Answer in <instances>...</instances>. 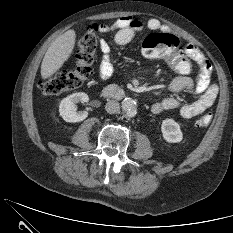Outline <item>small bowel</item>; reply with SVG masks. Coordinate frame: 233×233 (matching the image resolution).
Segmentation results:
<instances>
[{"instance_id": "small-bowel-1", "label": "small bowel", "mask_w": 233, "mask_h": 233, "mask_svg": "<svg viewBox=\"0 0 233 233\" xmlns=\"http://www.w3.org/2000/svg\"><path fill=\"white\" fill-rule=\"evenodd\" d=\"M144 29L166 31L167 27L157 19L144 22L132 16L120 17L110 25H100V31L114 33L112 44L106 40L100 42L103 55L98 67V76L101 81H107L113 73L110 56L113 46H122L129 43L137 33ZM183 50L196 64L198 69L197 78L193 80L187 75L175 77L168 84V90L173 93L186 91L200 95L189 103L182 102L175 97H166L152 104L151 111L154 114L177 110L181 117L189 119L211 107L217 98L219 88L211 81V65L205 54L192 44L186 45Z\"/></svg>"}]
</instances>
